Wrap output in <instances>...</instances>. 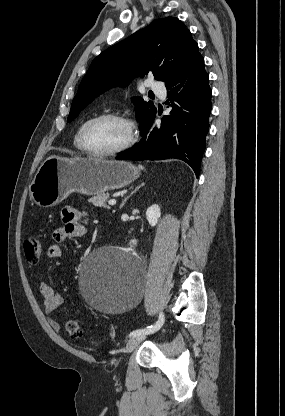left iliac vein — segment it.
<instances>
[{
	"mask_svg": "<svg viewBox=\"0 0 285 416\" xmlns=\"http://www.w3.org/2000/svg\"><path fill=\"white\" fill-rule=\"evenodd\" d=\"M159 326L157 327V329ZM146 338L145 334L137 335L135 337H132L126 344V351L132 352L133 349L138 346L144 339Z\"/></svg>",
	"mask_w": 285,
	"mask_h": 416,
	"instance_id": "left-iliac-vein-1",
	"label": "left iliac vein"
}]
</instances>
